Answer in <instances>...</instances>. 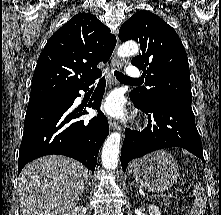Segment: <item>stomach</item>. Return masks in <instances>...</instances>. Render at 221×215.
Segmentation results:
<instances>
[{
	"mask_svg": "<svg viewBox=\"0 0 221 215\" xmlns=\"http://www.w3.org/2000/svg\"><path fill=\"white\" fill-rule=\"evenodd\" d=\"M136 182L153 192L169 189L179 176V167L171 154L165 150L151 153L133 164Z\"/></svg>",
	"mask_w": 221,
	"mask_h": 215,
	"instance_id": "0dacf381",
	"label": "stomach"
}]
</instances>
